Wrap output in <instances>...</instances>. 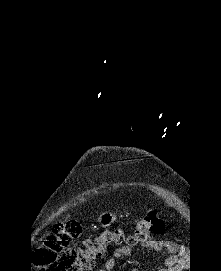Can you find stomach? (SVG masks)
<instances>
[{"label":"stomach","instance_id":"1","mask_svg":"<svg viewBox=\"0 0 221 271\" xmlns=\"http://www.w3.org/2000/svg\"><path fill=\"white\" fill-rule=\"evenodd\" d=\"M116 219V215L114 213H111V211H104V213H101L98 217V223L102 225V227H107V225H111V223H114Z\"/></svg>","mask_w":221,"mask_h":271}]
</instances>
